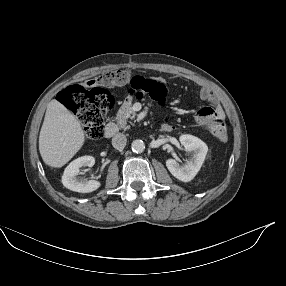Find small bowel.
I'll use <instances>...</instances> for the list:
<instances>
[{
	"label": "small bowel",
	"mask_w": 286,
	"mask_h": 286,
	"mask_svg": "<svg viewBox=\"0 0 286 286\" xmlns=\"http://www.w3.org/2000/svg\"><path fill=\"white\" fill-rule=\"evenodd\" d=\"M132 75L127 71H116L114 72V77L109 80H92L89 84L102 83L106 85H116L123 86L131 83ZM199 97L202 100L213 102L215 104L218 103V97L207 87L204 85L200 86L199 89ZM218 118L221 119L225 123V117L222 108L217 105L215 108L205 107L200 109L196 114V120L200 123H207L210 119ZM172 125L170 123H165L162 125L161 129L165 132H169L172 130Z\"/></svg>",
	"instance_id": "obj_1"
}]
</instances>
